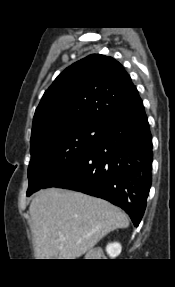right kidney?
<instances>
[{"instance_id": "right-kidney-1", "label": "right kidney", "mask_w": 175, "mask_h": 287, "mask_svg": "<svg viewBox=\"0 0 175 287\" xmlns=\"http://www.w3.org/2000/svg\"><path fill=\"white\" fill-rule=\"evenodd\" d=\"M121 249H122L121 244L118 242H114V243H109L107 245L106 252L110 257L115 258L121 253Z\"/></svg>"}]
</instances>
